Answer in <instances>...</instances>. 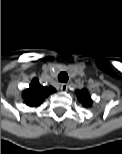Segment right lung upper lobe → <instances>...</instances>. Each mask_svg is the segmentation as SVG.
I'll return each mask as SVG.
<instances>
[{
	"label": "right lung upper lobe",
	"mask_w": 122,
	"mask_h": 154,
	"mask_svg": "<svg viewBox=\"0 0 122 154\" xmlns=\"http://www.w3.org/2000/svg\"><path fill=\"white\" fill-rule=\"evenodd\" d=\"M53 92H55L53 87H44L37 78H34L30 87L23 92V98L28 106L37 107Z\"/></svg>",
	"instance_id": "right-lung-upper-lobe-1"
}]
</instances>
